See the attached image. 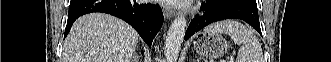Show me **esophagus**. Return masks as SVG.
<instances>
[{"instance_id":"esophagus-1","label":"esophagus","mask_w":331,"mask_h":62,"mask_svg":"<svg viewBox=\"0 0 331 62\" xmlns=\"http://www.w3.org/2000/svg\"><path fill=\"white\" fill-rule=\"evenodd\" d=\"M162 9H163V13H164V16L166 17V19H170L172 17H174L176 15V10L173 8V7H170V6H162Z\"/></svg>"}]
</instances>
